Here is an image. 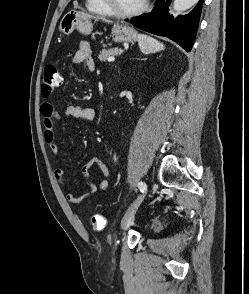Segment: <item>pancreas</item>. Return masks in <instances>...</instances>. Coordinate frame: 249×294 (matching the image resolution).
<instances>
[{
    "mask_svg": "<svg viewBox=\"0 0 249 294\" xmlns=\"http://www.w3.org/2000/svg\"><path fill=\"white\" fill-rule=\"evenodd\" d=\"M118 53V49L117 48H111V49H103L102 51H100L99 55H98V59L100 61H106L107 58H109L110 56H114Z\"/></svg>",
    "mask_w": 249,
    "mask_h": 294,
    "instance_id": "pancreas-1",
    "label": "pancreas"
}]
</instances>
